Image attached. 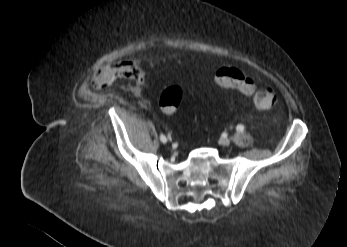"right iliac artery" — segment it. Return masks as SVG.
<instances>
[{
    "label": "right iliac artery",
    "mask_w": 347,
    "mask_h": 247,
    "mask_svg": "<svg viewBox=\"0 0 347 247\" xmlns=\"http://www.w3.org/2000/svg\"><path fill=\"white\" fill-rule=\"evenodd\" d=\"M160 140H161L163 143H166V142H167V138H166L163 134L160 135Z\"/></svg>",
    "instance_id": "1"
}]
</instances>
